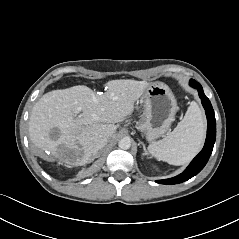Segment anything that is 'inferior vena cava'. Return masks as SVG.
<instances>
[{"mask_svg":"<svg viewBox=\"0 0 239 239\" xmlns=\"http://www.w3.org/2000/svg\"><path fill=\"white\" fill-rule=\"evenodd\" d=\"M108 142L107 138H102L97 142L96 149L99 151L101 150Z\"/></svg>","mask_w":239,"mask_h":239,"instance_id":"inferior-vena-cava-1","label":"inferior vena cava"}]
</instances>
